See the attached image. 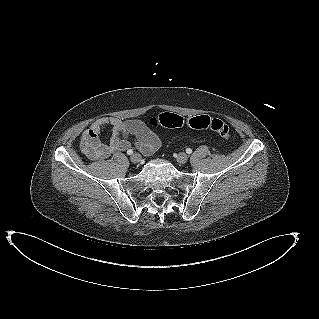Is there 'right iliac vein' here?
I'll return each instance as SVG.
<instances>
[{
  "mask_svg": "<svg viewBox=\"0 0 319 319\" xmlns=\"http://www.w3.org/2000/svg\"><path fill=\"white\" fill-rule=\"evenodd\" d=\"M130 160L134 164H138L141 161V155L138 153H134L131 157Z\"/></svg>",
  "mask_w": 319,
  "mask_h": 319,
  "instance_id": "63e3f726",
  "label": "right iliac vein"
}]
</instances>
